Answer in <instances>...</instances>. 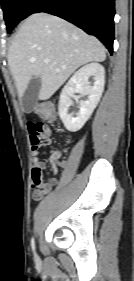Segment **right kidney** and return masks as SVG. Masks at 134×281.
I'll use <instances>...</instances> for the list:
<instances>
[{
  "label": "right kidney",
  "mask_w": 134,
  "mask_h": 281,
  "mask_svg": "<svg viewBox=\"0 0 134 281\" xmlns=\"http://www.w3.org/2000/svg\"><path fill=\"white\" fill-rule=\"evenodd\" d=\"M90 76L94 80L92 86L88 81ZM104 84L105 70L99 63L87 64L74 73L60 94L58 107L59 116L67 130L76 132L83 127L100 101ZM77 92L82 96L87 95L88 99L79 102L77 113H69V107L73 105L71 98Z\"/></svg>",
  "instance_id": "obj_1"
}]
</instances>
